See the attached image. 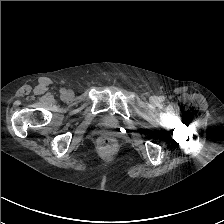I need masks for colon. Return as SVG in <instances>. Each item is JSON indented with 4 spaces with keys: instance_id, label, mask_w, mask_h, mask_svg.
Masks as SVG:
<instances>
[{
    "instance_id": "1",
    "label": "colon",
    "mask_w": 224,
    "mask_h": 224,
    "mask_svg": "<svg viewBox=\"0 0 224 224\" xmlns=\"http://www.w3.org/2000/svg\"><path fill=\"white\" fill-rule=\"evenodd\" d=\"M99 143L101 146L107 147L113 143V140L110 137L104 136L100 139Z\"/></svg>"
}]
</instances>
